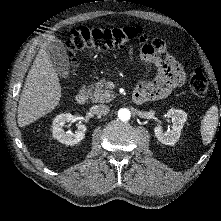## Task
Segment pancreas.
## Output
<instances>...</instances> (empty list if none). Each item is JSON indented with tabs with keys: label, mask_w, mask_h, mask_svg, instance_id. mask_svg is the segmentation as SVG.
<instances>
[{
	"label": "pancreas",
	"mask_w": 221,
	"mask_h": 221,
	"mask_svg": "<svg viewBox=\"0 0 221 221\" xmlns=\"http://www.w3.org/2000/svg\"><path fill=\"white\" fill-rule=\"evenodd\" d=\"M90 99L94 103H109L115 96L107 89L105 80H100L90 86Z\"/></svg>",
	"instance_id": "cf45deb5"
}]
</instances>
